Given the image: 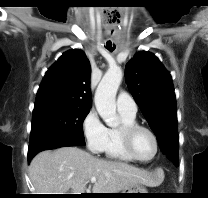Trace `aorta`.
<instances>
[{
	"label": "aorta",
	"instance_id": "1",
	"mask_svg": "<svg viewBox=\"0 0 208 198\" xmlns=\"http://www.w3.org/2000/svg\"><path fill=\"white\" fill-rule=\"evenodd\" d=\"M120 68L109 69L101 79L95 92V106L103 121L109 127H116L119 118L116 113V93L122 81Z\"/></svg>",
	"mask_w": 208,
	"mask_h": 198
}]
</instances>
